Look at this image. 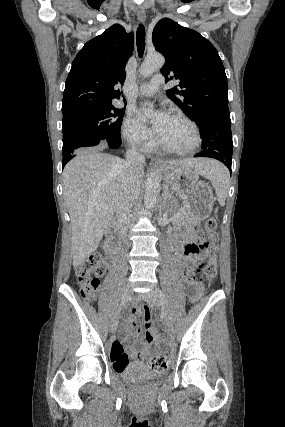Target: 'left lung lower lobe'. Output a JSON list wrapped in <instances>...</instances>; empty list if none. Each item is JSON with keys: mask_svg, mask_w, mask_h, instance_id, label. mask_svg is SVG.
Segmentation results:
<instances>
[{"mask_svg": "<svg viewBox=\"0 0 285 427\" xmlns=\"http://www.w3.org/2000/svg\"><path fill=\"white\" fill-rule=\"evenodd\" d=\"M202 137V151L195 157H210L223 162L230 170L233 142L231 120L207 117L197 123Z\"/></svg>", "mask_w": 285, "mask_h": 427, "instance_id": "0a47b994", "label": "left lung lower lobe"}]
</instances>
